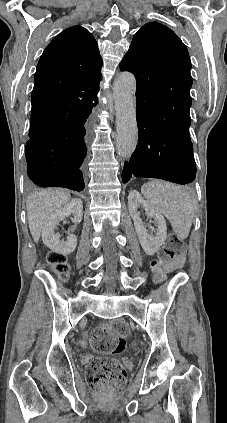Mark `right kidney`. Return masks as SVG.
<instances>
[{
    "label": "right kidney",
    "instance_id": "right-kidney-1",
    "mask_svg": "<svg viewBox=\"0 0 227 423\" xmlns=\"http://www.w3.org/2000/svg\"><path fill=\"white\" fill-rule=\"evenodd\" d=\"M66 215H73L72 221L74 225H71V231H74L83 215V204L81 200L74 198L65 208H59V210L53 211L50 217L46 219L42 229L44 245H47V247H50V249L56 251V253H62V255H69V253L74 251L77 245V235H74V233H68L67 241H63V239H60V233L55 231L57 225H59V221L65 219Z\"/></svg>",
    "mask_w": 227,
    "mask_h": 423
}]
</instances>
